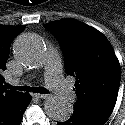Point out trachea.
<instances>
[{
    "label": "trachea",
    "instance_id": "trachea-1",
    "mask_svg": "<svg viewBox=\"0 0 125 125\" xmlns=\"http://www.w3.org/2000/svg\"><path fill=\"white\" fill-rule=\"evenodd\" d=\"M9 89L19 90V91H26V92H35L41 94H47L48 91L43 87H30V86H11L8 85Z\"/></svg>",
    "mask_w": 125,
    "mask_h": 125
}]
</instances>
